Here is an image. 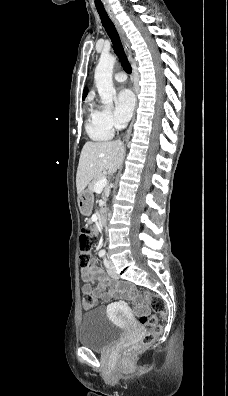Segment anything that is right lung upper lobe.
I'll list each match as a JSON object with an SVG mask.
<instances>
[{"label": "right lung upper lobe", "instance_id": "obj_1", "mask_svg": "<svg viewBox=\"0 0 228 396\" xmlns=\"http://www.w3.org/2000/svg\"><path fill=\"white\" fill-rule=\"evenodd\" d=\"M86 95H87V89L85 88L83 92V99L86 97Z\"/></svg>", "mask_w": 228, "mask_h": 396}]
</instances>
